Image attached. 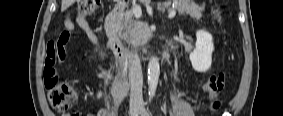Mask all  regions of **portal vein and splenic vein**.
I'll use <instances>...</instances> for the list:
<instances>
[{
  "instance_id": "portal-vein-and-splenic-vein-1",
  "label": "portal vein and splenic vein",
  "mask_w": 283,
  "mask_h": 116,
  "mask_svg": "<svg viewBox=\"0 0 283 116\" xmlns=\"http://www.w3.org/2000/svg\"><path fill=\"white\" fill-rule=\"evenodd\" d=\"M132 12L137 19L142 16L141 8L138 5L133 6ZM175 15H176V9H172L168 14V18L172 19Z\"/></svg>"
}]
</instances>
